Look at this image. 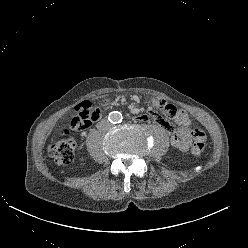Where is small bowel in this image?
<instances>
[{"mask_svg": "<svg viewBox=\"0 0 248 248\" xmlns=\"http://www.w3.org/2000/svg\"><path fill=\"white\" fill-rule=\"evenodd\" d=\"M152 106L147 107L146 112L150 115L149 121L152 123H158L163 129L170 132V142L171 145L180 150V151H187L191 145L192 135L189 131L190 119L186 113L182 112L180 109H177L176 106L169 104L167 100H162L159 96H154L151 99ZM159 109L160 113L157 112L155 109ZM133 111L135 113H139L140 109L134 108ZM102 115L101 109H98V115L95 119L98 120ZM140 121H146L148 117L146 115H140L138 117ZM176 120L179 129L173 130L172 125L169 121Z\"/></svg>", "mask_w": 248, "mask_h": 248, "instance_id": "1", "label": "small bowel"}]
</instances>
